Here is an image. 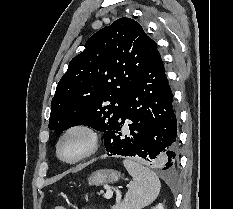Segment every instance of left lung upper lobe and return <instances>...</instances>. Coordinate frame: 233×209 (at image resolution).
<instances>
[{
	"instance_id": "1",
	"label": "left lung upper lobe",
	"mask_w": 233,
	"mask_h": 209,
	"mask_svg": "<svg viewBox=\"0 0 233 209\" xmlns=\"http://www.w3.org/2000/svg\"><path fill=\"white\" fill-rule=\"evenodd\" d=\"M69 63L51 102L49 128L87 125L105 132L125 108L137 77L158 51L135 20L114 21L92 35Z\"/></svg>"
}]
</instances>
